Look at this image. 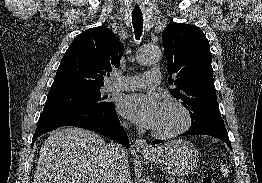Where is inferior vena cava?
Masks as SVG:
<instances>
[{"label": "inferior vena cava", "mask_w": 262, "mask_h": 183, "mask_svg": "<svg viewBox=\"0 0 262 183\" xmlns=\"http://www.w3.org/2000/svg\"><path fill=\"white\" fill-rule=\"evenodd\" d=\"M123 126L126 127L127 124L124 123ZM107 151L113 183H132L126 149L119 144H108Z\"/></svg>", "instance_id": "1"}]
</instances>
